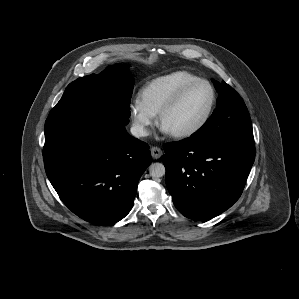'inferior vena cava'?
Instances as JSON below:
<instances>
[{
  "label": "inferior vena cava",
  "instance_id": "602c4592",
  "mask_svg": "<svg viewBox=\"0 0 299 299\" xmlns=\"http://www.w3.org/2000/svg\"><path fill=\"white\" fill-rule=\"evenodd\" d=\"M130 131L131 134L136 138L148 136V132L141 125H133Z\"/></svg>",
  "mask_w": 299,
  "mask_h": 299
}]
</instances>
